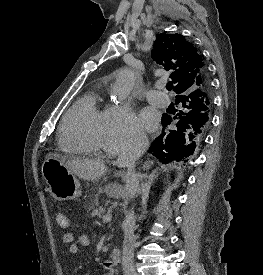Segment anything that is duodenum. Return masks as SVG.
Returning <instances> with one entry per match:
<instances>
[{"label":"duodenum","instance_id":"duodenum-1","mask_svg":"<svg viewBox=\"0 0 263 275\" xmlns=\"http://www.w3.org/2000/svg\"><path fill=\"white\" fill-rule=\"evenodd\" d=\"M121 261V251L119 249H113L111 251L110 257L104 261V267L113 270V268L118 265Z\"/></svg>","mask_w":263,"mask_h":275}]
</instances>
